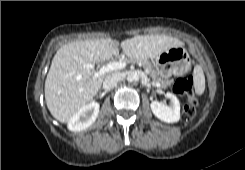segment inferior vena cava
<instances>
[{"mask_svg":"<svg viewBox=\"0 0 245 170\" xmlns=\"http://www.w3.org/2000/svg\"><path fill=\"white\" fill-rule=\"evenodd\" d=\"M123 78H124V75L122 73H113L112 75H109L104 79L103 87L105 89H109L113 87L116 83H118L119 81L123 80Z\"/></svg>","mask_w":245,"mask_h":170,"instance_id":"1","label":"inferior vena cava"}]
</instances>
